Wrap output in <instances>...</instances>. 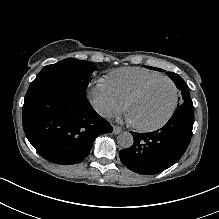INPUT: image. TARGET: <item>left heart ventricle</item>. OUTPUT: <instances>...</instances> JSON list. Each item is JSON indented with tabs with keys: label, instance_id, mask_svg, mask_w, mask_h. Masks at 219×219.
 Masks as SVG:
<instances>
[{
	"label": "left heart ventricle",
	"instance_id": "1",
	"mask_svg": "<svg viewBox=\"0 0 219 219\" xmlns=\"http://www.w3.org/2000/svg\"><path fill=\"white\" fill-rule=\"evenodd\" d=\"M172 99V85L167 81H161L131 102L127 113L131 116L133 123L150 126L163 119Z\"/></svg>",
	"mask_w": 219,
	"mask_h": 219
}]
</instances>
